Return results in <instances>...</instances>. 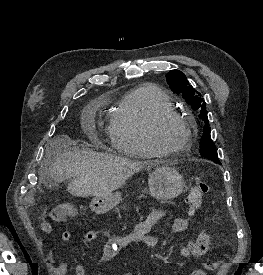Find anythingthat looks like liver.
Wrapping results in <instances>:
<instances>
[{"instance_id": "obj_1", "label": "liver", "mask_w": 263, "mask_h": 275, "mask_svg": "<svg viewBox=\"0 0 263 275\" xmlns=\"http://www.w3.org/2000/svg\"><path fill=\"white\" fill-rule=\"evenodd\" d=\"M74 142L68 136L52 139L47 148L52 162L42 164L40 174L46 172L54 183L72 178L68 191L77 197H104L120 188L128 178L139 172L146 163L90 150H71Z\"/></svg>"}]
</instances>
